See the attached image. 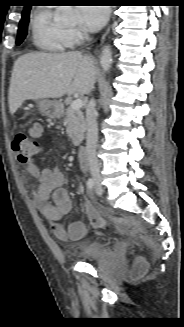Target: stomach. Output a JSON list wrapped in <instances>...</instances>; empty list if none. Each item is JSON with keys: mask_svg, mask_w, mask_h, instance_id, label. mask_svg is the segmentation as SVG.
Masks as SVG:
<instances>
[{"mask_svg": "<svg viewBox=\"0 0 184 327\" xmlns=\"http://www.w3.org/2000/svg\"><path fill=\"white\" fill-rule=\"evenodd\" d=\"M40 112L49 118H57L61 115V104L58 101L43 99L38 102Z\"/></svg>", "mask_w": 184, "mask_h": 327, "instance_id": "0dacf381", "label": "stomach"}]
</instances>
